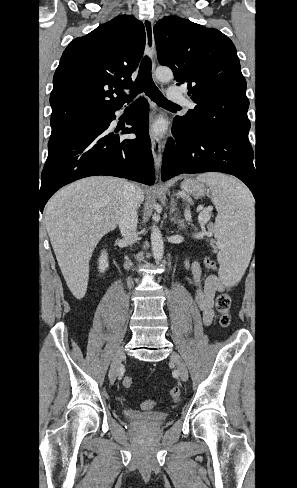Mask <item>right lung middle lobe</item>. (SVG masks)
Returning <instances> with one entry per match:
<instances>
[{
  "instance_id": "obj_1",
  "label": "right lung middle lobe",
  "mask_w": 297,
  "mask_h": 488,
  "mask_svg": "<svg viewBox=\"0 0 297 488\" xmlns=\"http://www.w3.org/2000/svg\"><path fill=\"white\" fill-rule=\"evenodd\" d=\"M95 121L97 120H94V121H90V122H86V123H83V124H80V125H77L75 127H72V128H69V129H66V130H63V131H59V132H54V133H51V136H50V140L48 142V147L53 143L55 142L57 139L63 137L64 135L78 129V128H81V127H84V126H87V125H90L92 123H94Z\"/></svg>"
}]
</instances>
